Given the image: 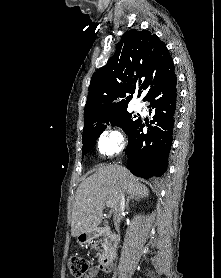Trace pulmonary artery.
<instances>
[{
	"mask_svg": "<svg viewBox=\"0 0 221 278\" xmlns=\"http://www.w3.org/2000/svg\"><path fill=\"white\" fill-rule=\"evenodd\" d=\"M135 109L140 111L142 109V106L140 104H135Z\"/></svg>",
	"mask_w": 221,
	"mask_h": 278,
	"instance_id": "1",
	"label": "pulmonary artery"
}]
</instances>
